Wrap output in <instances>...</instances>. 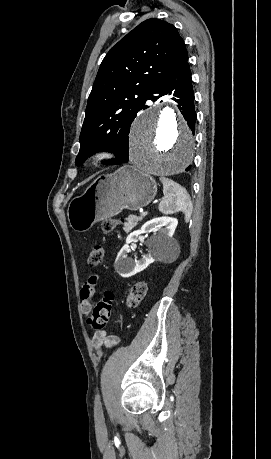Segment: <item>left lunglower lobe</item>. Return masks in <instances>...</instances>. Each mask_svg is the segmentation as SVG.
<instances>
[{
    "mask_svg": "<svg viewBox=\"0 0 271 459\" xmlns=\"http://www.w3.org/2000/svg\"><path fill=\"white\" fill-rule=\"evenodd\" d=\"M192 73L190 65L185 62L171 76L165 79L148 97L149 100L157 101L160 97L166 94L173 95L172 98L178 103V108L181 110L185 120L188 123L192 132H195L196 112L194 109V91L192 86ZM143 107L142 109H145ZM129 159V154L125 157L116 160L110 164L126 163ZM190 167L186 169L189 170Z\"/></svg>",
    "mask_w": 271,
    "mask_h": 459,
    "instance_id": "obj_1",
    "label": "left lung lower lobe"
}]
</instances>
